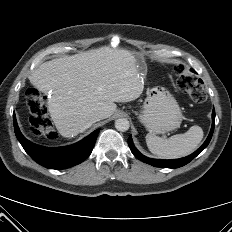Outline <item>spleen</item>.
<instances>
[{
	"label": "spleen",
	"mask_w": 232,
	"mask_h": 232,
	"mask_svg": "<svg viewBox=\"0 0 232 232\" xmlns=\"http://www.w3.org/2000/svg\"><path fill=\"white\" fill-rule=\"evenodd\" d=\"M145 138L151 153L164 159H176L196 150L203 138V130L194 125L184 134L173 135L169 139H163L152 133H148Z\"/></svg>",
	"instance_id": "3e777b00"
}]
</instances>
